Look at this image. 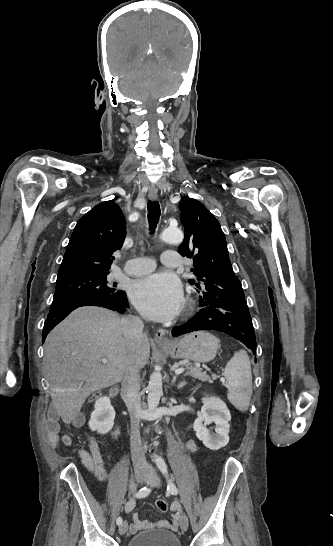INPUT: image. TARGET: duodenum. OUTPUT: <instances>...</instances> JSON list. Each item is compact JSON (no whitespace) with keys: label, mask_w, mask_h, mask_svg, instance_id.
<instances>
[{"label":"duodenum","mask_w":333,"mask_h":546,"mask_svg":"<svg viewBox=\"0 0 333 546\" xmlns=\"http://www.w3.org/2000/svg\"><path fill=\"white\" fill-rule=\"evenodd\" d=\"M117 393H118V389H117V388H113V389L110 391V396H111V398H115L116 395H117ZM114 433H115L116 436H119V435L121 434V430H120V427H119V426H116L115 432H114Z\"/></svg>","instance_id":"1"}]
</instances>
